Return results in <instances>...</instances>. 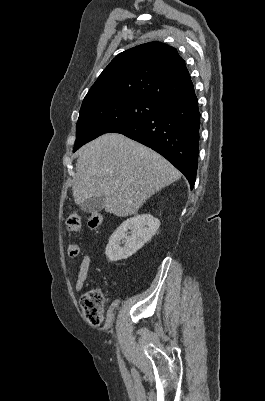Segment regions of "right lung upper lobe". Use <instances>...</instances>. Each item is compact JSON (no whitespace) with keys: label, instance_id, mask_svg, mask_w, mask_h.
<instances>
[{"label":"right lung upper lobe","instance_id":"1","mask_svg":"<svg viewBox=\"0 0 265 401\" xmlns=\"http://www.w3.org/2000/svg\"><path fill=\"white\" fill-rule=\"evenodd\" d=\"M185 61L177 50L150 42L118 54L100 74L82 106L112 99L163 102L193 89Z\"/></svg>","mask_w":265,"mask_h":401}]
</instances>
